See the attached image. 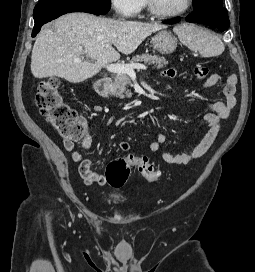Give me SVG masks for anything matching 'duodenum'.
I'll return each mask as SVG.
<instances>
[{"label": "duodenum", "instance_id": "410a0bca", "mask_svg": "<svg viewBox=\"0 0 255 272\" xmlns=\"http://www.w3.org/2000/svg\"><path fill=\"white\" fill-rule=\"evenodd\" d=\"M110 88L111 79L108 77H102L95 82V89L97 93L105 99H110L112 97Z\"/></svg>", "mask_w": 255, "mask_h": 272}]
</instances>
